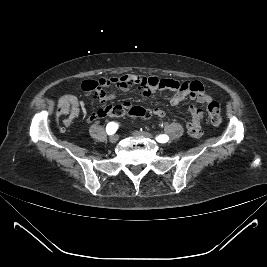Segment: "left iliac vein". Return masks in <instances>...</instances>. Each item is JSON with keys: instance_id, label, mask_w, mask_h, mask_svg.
<instances>
[{"instance_id": "left-iliac-vein-1", "label": "left iliac vein", "mask_w": 267, "mask_h": 267, "mask_svg": "<svg viewBox=\"0 0 267 267\" xmlns=\"http://www.w3.org/2000/svg\"><path fill=\"white\" fill-rule=\"evenodd\" d=\"M133 135H135V136H141V137H146V138H153V136L150 133L145 132V131H143V132L136 131V132L133 133Z\"/></svg>"}]
</instances>
